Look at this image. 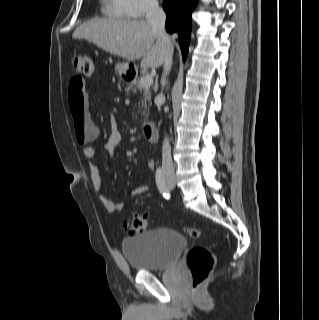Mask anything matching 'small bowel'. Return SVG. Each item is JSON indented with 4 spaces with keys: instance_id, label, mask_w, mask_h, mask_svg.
Returning <instances> with one entry per match:
<instances>
[{
    "instance_id": "1",
    "label": "small bowel",
    "mask_w": 319,
    "mask_h": 320,
    "mask_svg": "<svg viewBox=\"0 0 319 320\" xmlns=\"http://www.w3.org/2000/svg\"><path fill=\"white\" fill-rule=\"evenodd\" d=\"M68 101L70 106V111L72 116L75 114H83L86 118L89 125L93 128L95 132V137L99 135L98 127L92 122L88 114V96L86 92V85L85 82L78 77L72 78L69 82V93H68ZM121 142V133L115 129L113 126L107 136L105 147L106 150L113 154L117 146ZM84 157L92 161L95 158V150L92 146H86L83 149ZM148 168L152 169L154 167L153 161L147 162ZM90 182L98 193V197L102 205L104 206L105 210L109 213L119 212L122 211L124 208L123 202H116L110 199L105 192L103 191V181L100 175L99 169L95 164L90 165ZM148 190L147 185H140L137 187L132 188L129 191L130 197H136L146 193Z\"/></svg>"
}]
</instances>
